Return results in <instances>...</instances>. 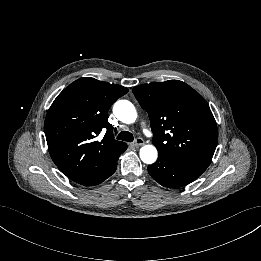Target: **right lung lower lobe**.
Wrapping results in <instances>:
<instances>
[{"instance_id":"obj_1","label":"right lung lower lobe","mask_w":261,"mask_h":261,"mask_svg":"<svg viewBox=\"0 0 261 261\" xmlns=\"http://www.w3.org/2000/svg\"><path fill=\"white\" fill-rule=\"evenodd\" d=\"M118 158H119V156H117L116 158L111 160L108 163V165H106L105 168L100 173H98L92 177L86 178L84 180L75 181V182H77L83 186H94V185H98V184L102 183L115 172L116 167H117Z\"/></svg>"}]
</instances>
